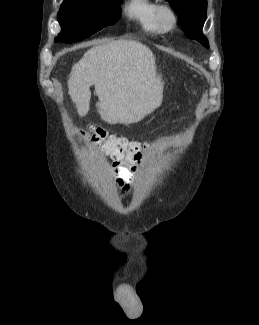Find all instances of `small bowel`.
<instances>
[{
	"label": "small bowel",
	"mask_w": 259,
	"mask_h": 325,
	"mask_svg": "<svg viewBox=\"0 0 259 325\" xmlns=\"http://www.w3.org/2000/svg\"><path fill=\"white\" fill-rule=\"evenodd\" d=\"M138 163L121 160H115L112 163V174L115 178V184L120 188L122 196L129 194L132 189V182L138 171Z\"/></svg>",
	"instance_id": "c3829d8e"
}]
</instances>
